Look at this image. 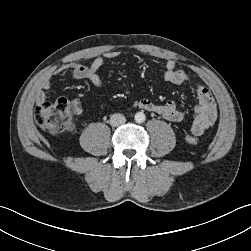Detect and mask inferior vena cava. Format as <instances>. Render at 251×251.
<instances>
[{"mask_svg":"<svg viewBox=\"0 0 251 251\" xmlns=\"http://www.w3.org/2000/svg\"><path fill=\"white\" fill-rule=\"evenodd\" d=\"M125 122H126V118L122 114L117 113V114H113L110 117L111 126L117 127V126L123 125Z\"/></svg>","mask_w":251,"mask_h":251,"instance_id":"inferior-vena-cava-1","label":"inferior vena cava"}]
</instances>
